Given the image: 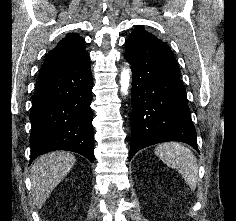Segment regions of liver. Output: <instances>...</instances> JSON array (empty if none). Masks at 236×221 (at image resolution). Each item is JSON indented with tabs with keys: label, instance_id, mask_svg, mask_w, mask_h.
<instances>
[{
	"label": "liver",
	"instance_id": "1",
	"mask_svg": "<svg viewBox=\"0 0 236 221\" xmlns=\"http://www.w3.org/2000/svg\"><path fill=\"white\" fill-rule=\"evenodd\" d=\"M76 158L65 151H54L41 155L31 168V186L37 208H41L52 190L74 166Z\"/></svg>",
	"mask_w": 236,
	"mask_h": 221
}]
</instances>
